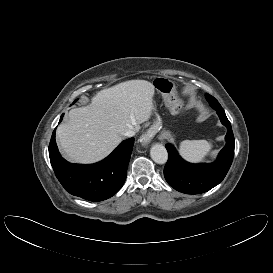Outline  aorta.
<instances>
[{
	"label": "aorta",
	"mask_w": 273,
	"mask_h": 273,
	"mask_svg": "<svg viewBox=\"0 0 273 273\" xmlns=\"http://www.w3.org/2000/svg\"><path fill=\"white\" fill-rule=\"evenodd\" d=\"M150 156L157 164H165L168 159L166 148L162 144H155L150 150Z\"/></svg>",
	"instance_id": "aorta-1"
}]
</instances>
